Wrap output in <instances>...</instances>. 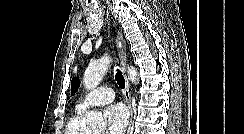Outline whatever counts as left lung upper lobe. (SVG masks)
Listing matches in <instances>:
<instances>
[{
    "mask_svg": "<svg viewBox=\"0 0 244 134\" xmlns=\"http://www.w3.org/2000/svg\"><path fill=\"white\" fill-rule=\"evenodd\" d=\"M79 86H80V80L78 78L74 77L71 82V95L75 94V92L78 90Z\"/></svg>",
    "mask_w": 244,
    "mask_h": 134,
    "instance_id": "obj_1",
    "label": "left lung upper lobe"
}]
</instances>
